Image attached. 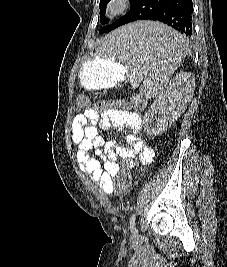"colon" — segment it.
Returning <instances> with one entry per match:
<instances>
[{"label":"colon","mask_w":227,"mask_h":267,"mask_svg":"<svg viewBox=\"0 0 227 267\" xmlns=\"http://www.w3.org/2000/svg\"><path fill=\"white\" fill-rule=\"evenodd\" d=\"M89 105V101L86 97H79L76 102V108L82 109ZM94 105H98V109H125V112H129V109H137V112H143L142 108L145 105L142 104H126V100H94ZM115 178V192L119 195H123L131 188L130 169H119V173H113Z\"/></svg>","instance_id":"colon-1"}]
</instances>
